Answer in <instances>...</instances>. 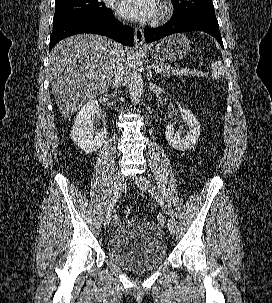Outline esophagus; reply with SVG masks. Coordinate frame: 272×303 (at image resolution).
I'll use <instances>...</instances> for the list:
<instances>
[{"label":"esophagus","instance_id":"esophagus-1","mask_svg":"<svg viewBox=\"0 0 272 303\" xmlns=\"http://www.w3.org/2000/svg\"><path fill=\"white\" fill-rule=\"evenodd\" d=\"M134 44L137 48L146 46L144 32H143V29L140 27H137L134 30Z\"/></svg>","mask_w":272,"mask_h":303}]
</instances>
